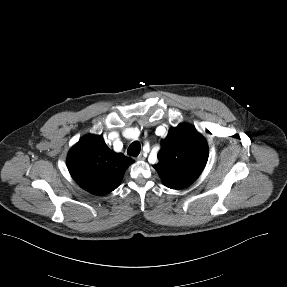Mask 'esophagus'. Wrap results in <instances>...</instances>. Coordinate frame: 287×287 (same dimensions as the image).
Here are the masks:
<instances>
[{
    "label": "esophagus",
    "mask_w": 287,
    "mask_h": 287,
    "mask_svg": "<svg viewBox=\"0 0 287 287\" xmlns=\"http://www.w3.org/2000/svg\"><path fill=\"white\" fill-rule=\"evenodd\" d=\"M136 159H137V160H144L145 157H144V155L140 154V155L137 156Z\"/></svg>",
    "instance_id": "esophagus-1"
}]
</instances>
